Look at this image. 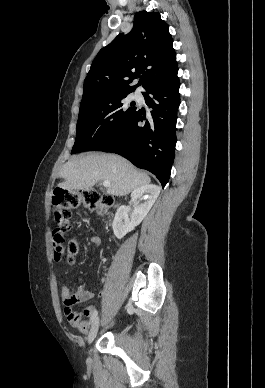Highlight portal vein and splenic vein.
<instances>
[{
    "label": "portal vein and splenic vein",
    "instance_id": "18ae733b",
    "mask_svg": "<svg viewBox=\"0 0 265 388\" xmlns=\"http://www.w3.org/2000/svg\"><path fill=\"white\" fill-rule=\"evenodd\" d=\"M103 186L104 188H109V186H111V182H108V180H105V182H103Z\"/></svg>",
    "mask_w": 265,
    "mask_h": 388
}]
</instances>
